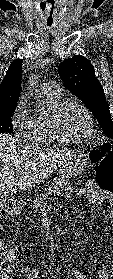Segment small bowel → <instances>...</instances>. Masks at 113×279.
Here are the masks:
<instances>
[{
	"label": "small bowel",
	"instance_id": "1",
	"mask_svg": "<svg viewBox=\"0 0 113 279\" xmlns=\"http://www.w3.org/2000/svg\"><path fill=\"white\" fill-rule=\"evenodd\" d=\"M86 190L88 193L90 203H92L94 205H99L102 203L103 200H108L111 204H113V195L97 192L93 181H89L86 184ZM110 219L112 221V227H113V209L110 210ZM24 273H25L27 279H38L39 278L38 272L34 268H26L24 270ZM73 274H74L75 279H92L91 277L86 276L77 270L73 271ZM1 275H0V279L1 278L7 279L5 273H4V275L3 274H1ZM112 277H113V271L111 273L106 268H101L97 274L98 279H112Z\"/></svg>",
	"mask_w": 113,
	"mask_h": 279
}]
</instances>
